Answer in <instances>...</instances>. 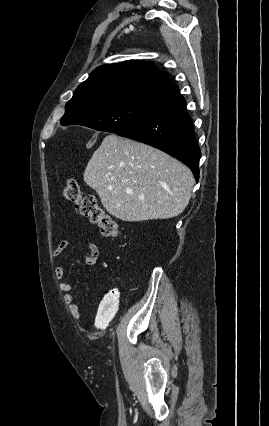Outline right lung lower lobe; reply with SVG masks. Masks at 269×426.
Masks as SVG:
<instances>
[{"label":"right lung lower lobe","instance_id":"right-lung-lower-lobe-1","mask_svg":"<svg viewBox=\"0 0 269 426\" xmlns=\"http://www.w3.org/2000/svg\"><path fill=\"white\" fill-rule=\"evenodd\" d=\"M115 134L148 144L177 158L191 169L198 182L201 151L186 110V101L177 85L167 87L145 116Z\"/></svg>","mask_w":269,"mask_h":426}]
</instances>
